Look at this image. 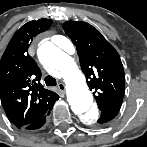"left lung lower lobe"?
I'll return each instance as SVG.
<instances>
[{
  "mask_svg": "<svg viewBox=\"0 0 147 147\" xmlns=\"http://www.w3.org/2000/svg\"><path fill=\"white\" fill-rule=\"evenodd\" d=\"M119 112V109H111L106 111H101V116L98 119V123H107L112 120Z\"/></svg>",
  "mask_w": 147,
  "mask_h": 147,
  "instance_id": "left-lung-lower-lobe-1",
  "label": "left lung lower lobe"
}]
</instances>
